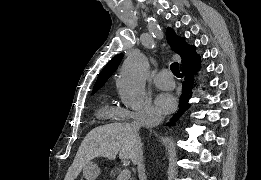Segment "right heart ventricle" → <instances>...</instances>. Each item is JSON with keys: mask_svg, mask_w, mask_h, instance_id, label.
Masks as SVG:
<instances>
[{"mask_svg": "<svg viewBox=\"0 0 261 180\" xmlns=\"http://www.w3.org/2000/svg\"><path fill=\"white\" fill-rule=\"evenodd\" d=\"M119 110L109 101H102L96 109V121L118 122ZM101 127V126H98Z\"/></svg>", "mask_w": 261, "mask_h": 180, "instance_id": "obj_1", "label": "right heart ventricle"}]
</instances>
